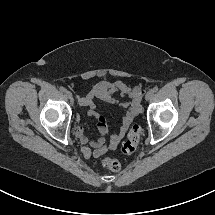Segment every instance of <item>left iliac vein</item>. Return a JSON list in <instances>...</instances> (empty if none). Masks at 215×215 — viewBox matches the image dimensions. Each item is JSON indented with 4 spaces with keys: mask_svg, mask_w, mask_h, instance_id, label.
Here are the masks:
<instances>
[{
    "mask_svg": "<svg viewBox=\"0 0 215 215\" xmlns=\"http://www.w3.org/2000/svg\"><path fill=\"white\" fill-rule=\"evenodd\" d=\"M152 96H153V91H152V90H151V91H148V92L146 93V95H145V99H146V100H149Z\"/></svg>",
    "mask_w": 215,
    "mask_h": 215,
    "instance_id": "left-iliac-vein-1",
    "label": "left iliac vein"
}]
</instances>
